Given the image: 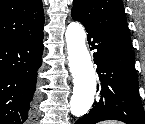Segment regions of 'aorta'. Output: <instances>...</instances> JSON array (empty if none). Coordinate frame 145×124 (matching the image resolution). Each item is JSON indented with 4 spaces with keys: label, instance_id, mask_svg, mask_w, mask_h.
I'll return each mask as SVG.
<instances>
[{
    "label": "aorta",
    "instance_id": "obj_1",
    "mask_svg": "<svg viewBox=\"0 0 145 124\" xmlns=\"http://www.w3.org/2000/svg\"><path fill=\"white\" fill-rule=\"evenodd\" d=\"M70 72L73 77V94L70 99V111L75 117L86 114L96 93V76L87 50L84 27L78 22L67 26L65 33Z\"/></svg>",
    "mask_w": 145,
    "mask_h": 124
}]
</instances>
